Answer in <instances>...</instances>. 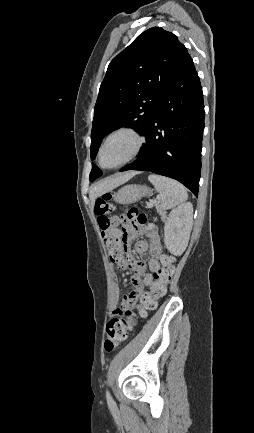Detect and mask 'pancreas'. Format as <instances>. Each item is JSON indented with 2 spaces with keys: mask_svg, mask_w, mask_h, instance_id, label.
<instances>
[{
  "mask_svg": "<svg viewBox=\"0 0 254 433\" xmlns=\"http://www.w3.org/2000/svg\"><path fill=\"white\" fill-rule=\"evenodd\" d=\"M155 207L157 209L158 214L161 216V218L163 219L165 216V212L164 210L161 208V206L159 204H155Z\"/></svg>",
  "mask_w": 254,
  "mask_h": 433,
  "instance_id": "cf45deb5",
  "label": "pancreas"
}]
</instances>
